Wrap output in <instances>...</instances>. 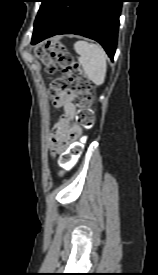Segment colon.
Returning <instances> with one entry per match:
<instances>
[{
    "label": "colon",
    "mask_w": 158,
    "mask_h": 275,
    "mask_svg": "<svg viewBox=\"0 0 158 275\" xmlns=\"http://www.w3.org/2000/svg\"><path fill=\"white\" fill-rule=\"evenodd\" d=\"M37 56L46 66L49 74L59 71L60 76L53 79L49 89L52 96L63 94L68 87L74 94L77 107L76 122L80 128L91 129L94 124L92 84L83 70L75 62L73 56L67 50L61 40H49L47 52L42 48H36ZM81 143H74L68 152L60 158V165H71L80 155Z\"/></svg>",
    "instance_id": "1"
}]
</instances>
